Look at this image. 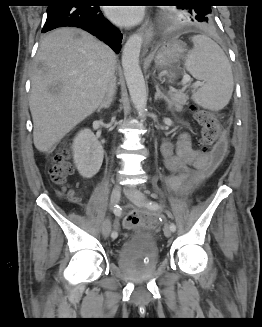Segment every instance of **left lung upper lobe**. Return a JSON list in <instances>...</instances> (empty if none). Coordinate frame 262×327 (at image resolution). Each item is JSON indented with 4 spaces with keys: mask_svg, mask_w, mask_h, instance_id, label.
Segmentation results:
<instances>
[{
    "mask_svg": "<svg viewBox=\"0 0 262 327\" xmlns=\"http://www.w3.org/2000/svg\"><path fill=\"white\" fill-rule=\"evenodd\" d=\"M177 6V12H163L162 22L164 26L191 25L210 27L214 23L210 5L200 4V0H181Z\"/></svg>",
    "mask_w": 262,
    "mask_h": 327,
    "instance_id": "5c2ea615",
    "label": "left lung upper lobe"
}]
</instances>
